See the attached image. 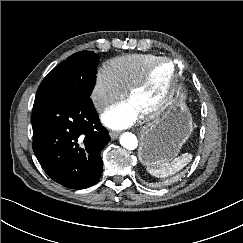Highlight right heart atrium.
<instances>
[{
    "label": "right heart atrium",
    "instance_id": "obj_1",
    "mask_svg": "<svg viewBox=\"0 0 243 243\" xmlns=\"http://www.w3.org/2000/svg\"><path fill=\"white\" fill-rule=\"evenodd\" d=\"M124 95V90L103 69L96 73L95 82L91 91V99L98 111H103Z\"/></svg>",
    "mask_w": 243,
    "mask_h": 243
}]
</instances>
